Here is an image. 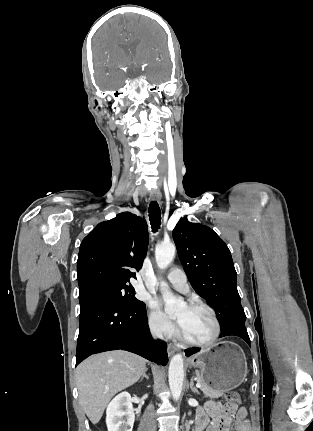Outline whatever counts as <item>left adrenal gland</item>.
<instances>
[{"instance_id": "obj_1", "label": "left adrenal gland", "mask_w": 313, "mask_h": 431, "mask_svg": "<svg viewBox=\"0 0 313 431\" xmlns=\"http://www.w3.org/2000/svg\"><path fill=\"white\" fill-rule=\"evenodd\" d=\"M190 389H191V391L193 393H196L198 395L200 394L199 391L197 390V388L194 386V380H193V378H191V381H190Z\"/></svg>"}]
</instances>
